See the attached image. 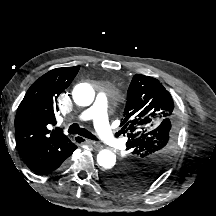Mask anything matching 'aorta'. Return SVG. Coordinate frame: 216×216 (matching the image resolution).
I'll list each match as a JSON object with an SVG mask.
<instances>
[{
	"mask_svg": "<svg viewBox=\"0 0 216 216\" xmlns=\"http://www.w3.org/2000/svg\"><path fill=\"white\" fill-rule=\"evenodd\" d=\"M74 102L79 106H89L94 101V89L86 83L77 85L72 92ZM97 163L103 169H112L116 163L115 154L108 150L103 149L97 155Z\"/></svg>",
	"mask_w": 216,
	"mask_h": 216,
	"instance_id": "aorta-1",
	"label": "aorta"
}]
</instances>
